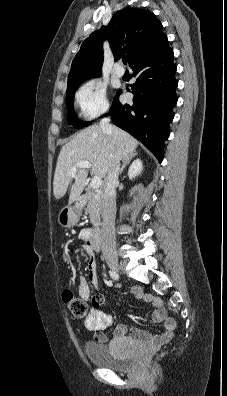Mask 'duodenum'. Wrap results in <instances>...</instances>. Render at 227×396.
<instances>
[{
	"instance_id": "1",
	"label": "duodenum",
	"mask_w": 227,
	"mask_h": 396,
	"mask_svg": "<svg viewBox=\"0 0 227 396\" xmlns=\"http://www.w3.org/2000/svg\"><path fill=\"white\" fill-rule=\"evenodd\" d=\"M86 203V197L84 195L79 196L75 201V206L81 208ZM92 241L98 247L101 248L103 245L102 230L97 227L92 232Z\"/></svg>"
}]
</instances>
